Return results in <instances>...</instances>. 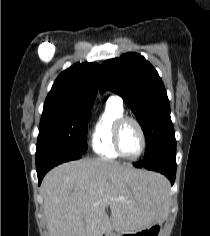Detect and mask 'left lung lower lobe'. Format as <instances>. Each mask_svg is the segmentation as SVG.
Segmentation results:
<instances>
[{
  "label": "left lung lower lobe",
  "mask_w": 210,
  "mask_h": 236,
  "mask_svg": "<svg viewBox=\"0 0 210 236\" xmlns=\"http://www.w3.org/2000/svg\"><path fill=\"white\" fill-rule=\"evenodd\" d=\"M134 166L164 174L173 185L176 176V140L170 138L159 144L142 161Z\"/></svg>",
  "instance_id": "obj_1"
}]
</instances>
